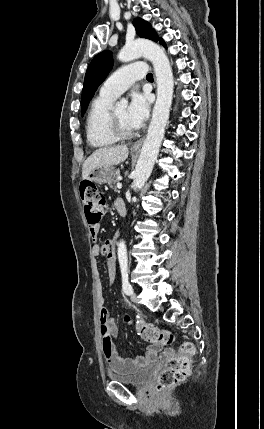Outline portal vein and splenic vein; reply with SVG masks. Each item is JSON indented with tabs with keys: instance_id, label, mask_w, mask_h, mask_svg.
<instances>
[{
	"instance_id": "obj_1",
	"label": "portal vein and splenic vein",
	"mask_w": 264,
	"mask_h": 429,
	"mask_svg": "<svg viewBox=\"0 0 264 429\" xmlns=\"http://www.w3.org/2000/svg\"><path fill=\"white\" fill-rule=\"evenodd\" d=\"M116 186H117V188H119V189H120V188H122V184H121V183H119V182L117 183V185H116Z\"/></svg>"
}]
</instances>
